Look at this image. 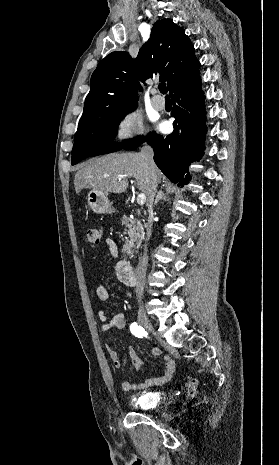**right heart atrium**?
<instances>
[{"mask_svg":"<svg viewBox=\"0 0 279 465\" xmlns=\"http://www.w3.org/2000/svg\"><path fill=\"white\" fill-rule=\"evenodd\" d=\"M114 137L120 142H132L145 136L142 115L135 109L123 111L114 125Z\"/></svg>","mask_w":279,"mask_h":465,"instance_id":"d8ad5b80","label":"right heart atrium"}]
</instances>
